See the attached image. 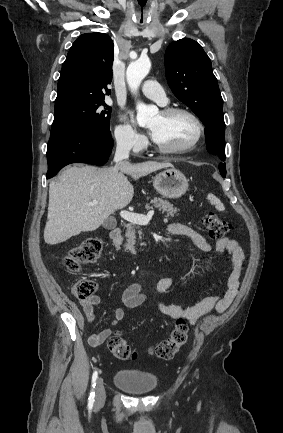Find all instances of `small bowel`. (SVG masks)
<instances>
[{
	"label": "small bowel",
	"mask_w": 283,
	"mask_h": 433,
	"mask_svg": "<svg viewBox=\"0 0 283 433\" xmlns=\"http://www.w3.org/2000/svg\"><path fill=\"white\" fill-rule=\"evenodd\" d=\"M168 231L174 235L186 236L192 240L194 245L201 251L208 252L212 249L211 244L206 238L193 228L180 223L173 222L168 226ZM220 255H228L231 263V272L227 279L225 291L216 296H209L196 304L183 307L177 303H167L160 299L155 300L157 308L165 315L178 319L184 318L190 324H194L198 318L205 313L216 310L223 313L233 302L240 285L243 273L244 252L240 244L233 239L224 238L216 242L214 246ZM176 282L174 277H164L157 281L155 290L158 294L171 289ZM146 294L139 283H132L127 286L121 295L122 307L115 309L113 318L109 325L99 333L89 336V344L93 347L102 345L111 335L113 328L124 318L125 309H132L142 305L146 301ZM101 299L97 294H92L89 298L79 300L82 312H77L76 318L79 324L83 325L85 320L93 323L95 320V307L99 305Z\"/></svg>",
	"instance_id": "1"
}]
</instances>
